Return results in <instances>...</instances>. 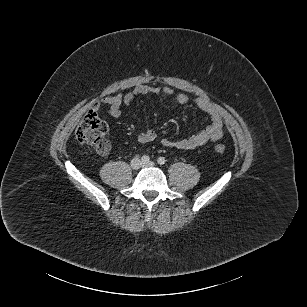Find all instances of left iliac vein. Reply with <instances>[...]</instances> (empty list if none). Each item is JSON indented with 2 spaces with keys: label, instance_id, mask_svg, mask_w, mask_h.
<instances>
[{
  "label": "left iliac vein",
  "instance_id": "obj_1",
  "mask_svg": "<svg viewBox=\"0 0 307 307\" xmlns=\"http://www.w3.org/2000/svg\"><path fill=\"white\" fill-rule=\"evenodd\" d=\"M142 166L143 167H153V166H155V163L150 161V162H147V163H143Z\"/></svg>",
  "mask_w": 307,
  "mask_h": 307
}]
</instances>
